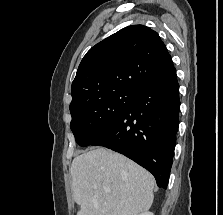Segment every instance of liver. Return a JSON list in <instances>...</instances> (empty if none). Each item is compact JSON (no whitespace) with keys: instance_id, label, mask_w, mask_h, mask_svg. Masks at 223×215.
<instances>
[{"instance_id":"obj_1","label":"liver","mask_w":223,"mask_h":215,"mask_svg":"<svg viewBox=\"0 0 223 215\" xmlns=\"http://www.w3.org/2000/svg\"><path fill=\"white\" fill-rule=\"evenodd\" d=\"M77 215H138L153 203L155 179L125 155L104 147L74 157L71 165Z\"/></svg>"}]
</instances>
